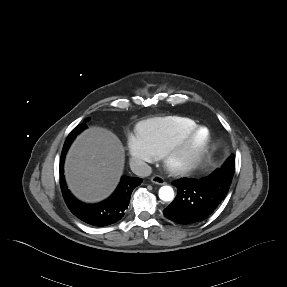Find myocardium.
Listing matches in <instances>:
<instances>
[{"label": "myocardium", "instance_id": "f54148a6", "mask_svg": "<svg viewBox=\"0 0 287 287\" xmlns=\"http://www.w3.org/2000/svg\"><path fill=\"white\" fill-rule=\"evenodd\" d=\"M207 131V139L203 147L194 156L184 159L190 145L199 131ZM212 133L209 128L205 126H197L188 134L176 141L164 154L163 164L168 173L174 176H184L200 166L207 156L212 145Z\"/></svg>", "mask_w": 287, "mask_h": 287}]
</instances>
